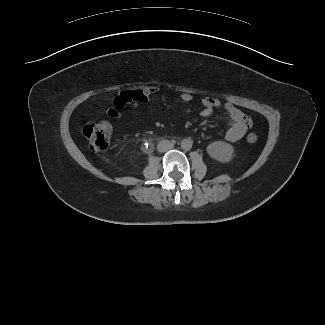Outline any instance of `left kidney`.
<instances>
[{"label": "left kidney", "instance_id": "obj_1", "mask_svg": "<svg viewBox=\"0 0 325 325\" xmlns=\"http://www.w3.org/2000/svg\"><path fill=\"white\" fill-rule=\"evenodd\" d=\"M207 152L211 158L227 163L234 157V149L231 144L223 141H215L207 146Z\"/></svg>", "mask_w": 325, "mask_h": 325}]
</instances>
